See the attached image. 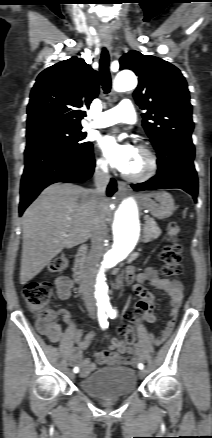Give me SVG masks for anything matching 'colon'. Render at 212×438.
I'll use <instances>...</instances> for the list:
<instances>
[{"mask_svg":"<svg viewBox=\"0 0 212 438\" xmlns=\"http://www.w3.org/2000/svg\"><path fill=\"white\" fill-rule=\"evenodd\" d=\"M180 228L176 223H169L166 228V245L163 247L160 258L164 263L161 274L167 277L178 276L182 272V248L178 242ZM68 265V258L64 254L55 256L50 264L49 270L53 273L63 272ZM52 288L45 282H29L23 289V298L28 310L42 322H48L52 314L47 308L52 298ZM154 310V301L150 294L139 297L134 304L132 311L126 312L124 337L127 345H132L135 341L136 326L147 319Z\"/></svg>","mask_w":212,"mask_h":438,"instance_id":"colon-1","label":"colon"}]
</instances>
